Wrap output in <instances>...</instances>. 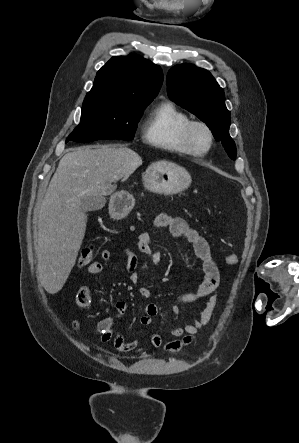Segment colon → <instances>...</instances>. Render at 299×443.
<instances>
[{
  "instance_id": "colon-1",
  "label": "colon",
  "mask_w": 299,
  "mask_h": 443,
  "mask_svg": "<svg viewBox=\"0 0 299 443\" xmlns=\"http://www.w3.org/2000/svg\"><path fill=\"white\" fill-rule=\"evenodd\" d=\"M93 254H94V249L92 246H85L80 253L79 259H78V263L80 266H85L88 265L93 258ZM226 262L229 265H236L238 263V257L235 254H227L225 257Z\"/></svg>"
}]
</instances>
